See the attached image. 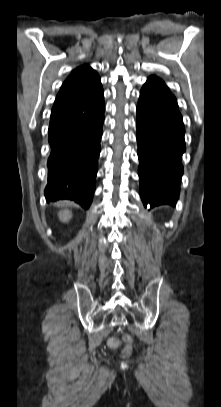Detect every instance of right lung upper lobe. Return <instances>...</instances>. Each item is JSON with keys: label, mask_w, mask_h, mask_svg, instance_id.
Wrapping results in <instances>:
<instances>
[{"label": "right lung upper lobe", "mask_w": 221, "mask_h": 407, "mask_svg": "<svg viewBox=\"0 0 221 407\" xmlns=\"http://www.w3.org/2000/svg\"><path fill=\"white\" fill-rule=\"evenodd\" d=\"M100 86L97 72L89 66H80L65 80L54 104L89 93Z\"/></svg>", "instance_id": "1"}]
</instances>
